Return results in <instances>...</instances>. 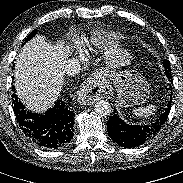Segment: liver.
Masks as SVG:
<instances>
[{"label": "liver", "mask_w": 183, "mask_h": 183, "mask_svg": "<svg viewBox=\"0 0 183 183\" xmlns=\"http://www.w3.org/2000/svg\"><path fill=\"white\" fill-rule=\"evenodd\" d=\"M69 47L64 42L52 45L42 35L26 43L15 62V89L27 109L44 112L57 99L64 80L63 66ZM114 54L105 49V59Z\"/></svg>", "instance_id": "6515ba94"}]
</instances>
